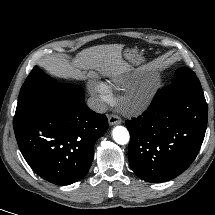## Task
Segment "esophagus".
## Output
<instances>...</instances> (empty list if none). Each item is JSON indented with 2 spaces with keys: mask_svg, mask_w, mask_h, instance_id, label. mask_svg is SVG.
<instances>
[{
  "mask_svg": "<svg viewBox=\"0 0 215 215\" xmlns=\"http://www.w3.org/2000/svg\"><path fill=\"white\" fill-rule=\"evenodd\" d=\"M108 122H109L110 125H117V124H121L122 120H121V118L118 115L111 114L108 117Z\"/></svg>",
  "mask_w": 215,
  "mask_h": 215,
  "instance_id": "obj_1",
  "label": "esophagus"
}]
</instances>
